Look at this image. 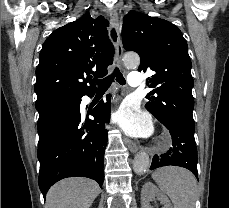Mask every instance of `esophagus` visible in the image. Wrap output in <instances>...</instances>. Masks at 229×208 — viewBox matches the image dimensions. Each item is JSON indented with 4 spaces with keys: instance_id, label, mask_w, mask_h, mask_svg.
<instances>
[{
    "instance_id": "obj_1",
    "label": "esophagus",
    "mask_w": 229,
    "mask_h": 208,
    "mask_svg": "<svg viewBox=\"0 0 229 208\" xmlns=\"http://www.w3.org/2000/svg\"><path fill=\"white\" fill-rule=\"evenodd\" d=\"M110 22H111V25L116 29L117 35H118L117 50H116L117 62L120 67H123V60H122L123 45H122V41L120 39V34H119L120 25H119L118 15L115 10L110 11ZM124 142L132 153H135L138 150V146L132 140H129L128 138H126L124 139Z\"/></svg>"
}]
</instances>
